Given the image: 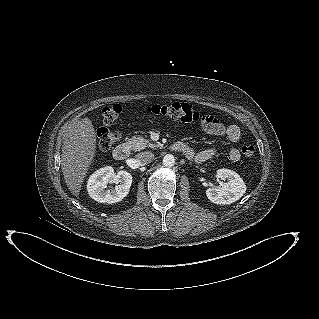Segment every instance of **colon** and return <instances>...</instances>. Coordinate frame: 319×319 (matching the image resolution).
<instances>
[{
  "mask_svg": "<svg viewBox=\"0 0 319 319\" xmlns=\"http://www.w3.org/2000/svg\"><path fill=\"white\" fill-rule=\"evenodd\" d=\"M122 107L119 104L105 106L102 116L105 124L113 123L121 114ZM148 114L165 117L171 120L182 122L204 121L208 117L202 111L194 109L190 104L184 102H174L170 104H155L147 107ZM98 145L102 150L110 149L120 138L117 131L102 127L97 131ZM242 155L247 159H252L255 149L252 145H244L241 148Z\"/></svg>",
  "mask_w": 319,
  "mask_h": 319,
  "instance_id": "5ec220e1",
  "label": "colon"
}]
</instances>
